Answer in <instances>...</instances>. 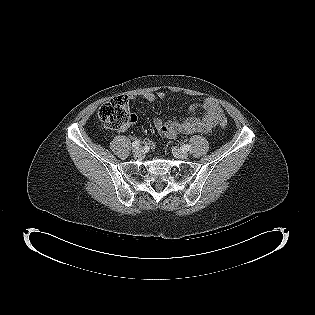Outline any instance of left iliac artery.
I'll return each instance as SVG.
<instances>
[{"mask_svg": "<svg viewBox=\"0 0 315 315\" xmlns=\"http://www.w3.org/2000/svg\"><path fill=\"white\" fill-rule=\"evenodd\" d=\"M191 149V146L186 144L183 146V150L189 151Z\"/></svg>", "mask_w": 315, "mask_h": 315, "instance_id": "left-iliac-artery-1", "label": "left iliac artery"}]
</instances>
